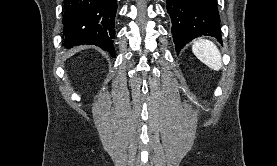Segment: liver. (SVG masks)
<instances>
[{
	"label": "liver",
	"instance_id": "obj_1",
	"mask_svg": "<svg viewBox=\"0 0 277 166\" xmlns=\"http://www.w3.org/2000/svg\"><path fill=\"white\" fill-rule=\"evenodd\" d=\"M78 50H79V49H74L73 51L68 52V53L65 55V57H70V56H72V55H73L74 53H76Z\"/></svg>",
	"mask_w": 277,
	"mask_h": 166
}]
</instances>
